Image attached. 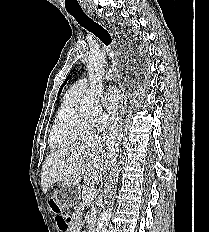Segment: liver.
Masks as SVG:
<instances>
[{
    "label": "liver",
    "mask_w": 209,
    "mask_h": 232,
    "mask_svg": "<svg viewBox=\"0 0 209 232\" xmlns=\"http://www.w3.org/2000/svg\"><path fill=\"white\" fill-rule=\"evenodd\" d=\"M117 153L115 142L96 138L77 143L52 152L42 166L41 187L44 194L56 182L77 185L82 178L85 183H100L102 174L113 163Z\"/></svg>",
    "instance_id": "obj_1"
}]
</instances>
